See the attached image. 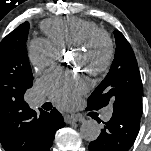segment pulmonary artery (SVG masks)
Here are the masks:
<instances>
[{"label": "pulmonary artery", "instance_id": "1", "mask_svg": "<svg viewBox=\"0 0 151 151\" xmlns=\"http://www.w3.org/2000/svg\"><path fill=\"white\" fill-rule=\"evenodd\" d=\"M44 103V99L42 97L36 96L34 98V104L35 105H42ZM112 116V110L111 109H106L102 115V118L105 121H108Z\"/></svg>", "mask_w": 151, "mask_h": 151}]
</instances>
